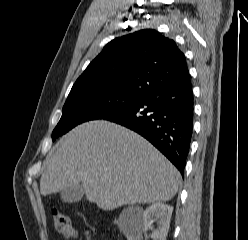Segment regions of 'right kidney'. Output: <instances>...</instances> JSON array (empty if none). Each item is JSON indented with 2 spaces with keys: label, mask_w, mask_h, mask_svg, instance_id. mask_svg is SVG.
I'll list each match as a JSON object with an SVG mask.
<instances>
[{
  "label": "right kidney",
  "mask_w": 248,
  "mask_h": 240,
  "mask_svg": "<svg viewBox=\"0 0 248 240\" xmlns=\"http://www.w3.org/2000/svg\"><path fill=\"white\" fill-rule=\"evenodd\" d=\"M173 207L164 203H154L149 206L142 215V219L132 226L125 235L127 240H141L143 233L152 228L154 221L158 227L153 230L151 238L153 240H166Z\"/></svg>",
  "instance_id": "right-kidney-1"
}]
</instances>
